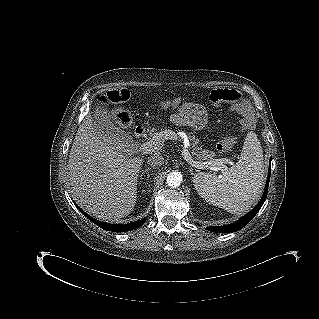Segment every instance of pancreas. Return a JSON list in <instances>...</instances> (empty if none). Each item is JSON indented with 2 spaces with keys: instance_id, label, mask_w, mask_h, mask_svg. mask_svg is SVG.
<instances>
[{
  "instance_id": "cf45deb5",
  "label": "pancreas",
  "mask_w": 319,
  "mask_h": 319,
  "mask_svg": "<svg viewBox=\"0 0 319 319\" xmlns=\"http://www.w3.org/2000/svg\"><path fill=\"white\" fill-rule=\"evenodd\" d=\"M148 133L151 137H154L156 135V129L151 128L148 130ZM188 139L190 141V149L192 150V155L200 160L201 162L205 161L206 163L214 162L217 159H214L215 153L213 151L205 150L202 148V146L199 144L198 139L195 138V136H192L188 134ZM164 140H160L159 148L162 146Z\"/></svg>"
}]
</instances>
